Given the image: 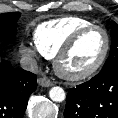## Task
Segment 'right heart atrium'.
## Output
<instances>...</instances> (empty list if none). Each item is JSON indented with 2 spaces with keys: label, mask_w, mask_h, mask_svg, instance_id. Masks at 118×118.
Wrapping results in <instances>:
<instances>
[{
  "label": "right heart atrium",
  "mask_w": 118,
  "mask_h": 118,
  "mask_svg": "<svg viewBox=\"0 0 118 118\" xmlns=\"http://www.w3.org/2000/svg\"><path fill=\"white\" fill-rule=\"evenodd\" d=\"M20 50H21V53L24 56H26V57H28L30 59H36V58L39 57V54H40L38 49L33 47V46H31V45L23 44V45H21Z\"/></svg>",
  "instance_id": "right-heart-atrium-1"
}]
</instances>
